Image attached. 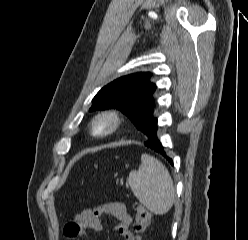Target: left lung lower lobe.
<instances>
[{
    "label": "left lung lower lobe",
    "instance_id": "0a47b994",
    "mask_svg": "<svg viewBox=\"0 0 248 240\" xmlns=\"http://www.w3.org/2000/svg\"><path fill=\"white\" fill-rule=\"evenodd\" d=\"M157 129V118H154L150 125L149 131L146 134L147 140L144 142V144L146 147L164 156L171 164H173L172 159L166 155L164 148L157 137Z\"/></svg>",
    "mask_w": 248,
    "mask_h": 240
}]
</instances>
